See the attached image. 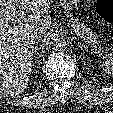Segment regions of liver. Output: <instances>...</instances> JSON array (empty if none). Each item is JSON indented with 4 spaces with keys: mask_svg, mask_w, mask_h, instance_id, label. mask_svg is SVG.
I'll use <instances>...</instances> for the list:
<instances>
[{
    "mask_svg": "<svg viewBox=\"0 0 113 113\" xmlns=\"http://www.w3.org/2000/svg\"><path fill=\"white\" fill-rule=\"evenodd\" d=\"M16 5L30 14L20 20ZM49 8L48 0H0V91L7 95L28 86L35 30L50 27Z\"/></svg>",
    "mask_w": 113,
    "mask_h": 113,
    "instance_id": "1",
    "label": "liver"
}]
</instances>
